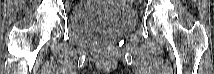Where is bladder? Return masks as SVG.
<instances>
[{"instance_id": "bladder-1", "label": "bladder", "mask_w": 214, "mask_h": 74, "mask_svg": "<svg viewBox=\"0 0 214 74\" xmlns=\"http://www.w3.org/2000/svg\"><path fill=\"white\" fill-rule=\"evenodd\" d=\"M136 22V12L116 1L80 2L69 14L71 31L84 37L96 28H109L123 35L132 30Z\"/></svg>"}]
</instances>
